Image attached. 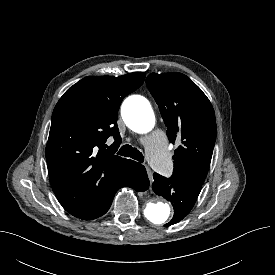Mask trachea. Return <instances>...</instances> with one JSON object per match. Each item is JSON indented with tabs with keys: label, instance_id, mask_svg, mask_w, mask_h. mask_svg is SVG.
<instances>
[{
	"label": "trachea",
	"instance_id": "obj_1",
	"mask_svg": "<svg viewBox=\"0 0 275 275\" xmlns=\"http://www.w3.org/2000/svg\"><path fill=\"white\" fill-rule=\"evenodd\" d=\"M118 154L121 156L130 157V158L135 159L141 163L144 162V156L142 155V153L130 145L122 146L120 148V150L118 151Z\"/></svg>",
	"mask_w": 275,
	"mask_h": 275
}]
</instances>
